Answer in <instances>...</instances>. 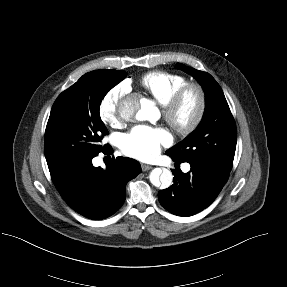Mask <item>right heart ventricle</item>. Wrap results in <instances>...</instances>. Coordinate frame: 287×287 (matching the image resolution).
I'll return each mask as SVG.
<instances>
[{
  "mask_svg": "<svg viewBox=\"0 0 287 287\" xmlns=\"http://www.w3.org/2000/svg\"><path fill=\"white\" fill-rule=\"evenodd\" d=\"M185 83L183 75L165 71L149 72L140 78L141 87L162 106Z\"/></svg>",
  "mask_w": 287,
  "mask_h": 287,
  "instance_id": "obj_1",
  "label": "right heart ventricle"
}]
</instances>
